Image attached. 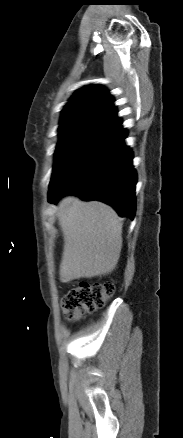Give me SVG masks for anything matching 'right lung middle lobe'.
I'll return each instance as SVG.
<instances>
[{"label": "right lung middle lobe", "instance_id": "1", "mask_svg": "<svg viewBox=\"0 0 183 438\" xmlns=\"http://www.w3.org/2000/svg\"><path fill=\"white\" fill-rule=\"evenodd\" d=\"M98 130L92 128H78L59 133L60 140L55 152L53 181L75 155L87 144Z\"/></svg>", "mask_w": 183, "mask_h": 438}]
</instances>
